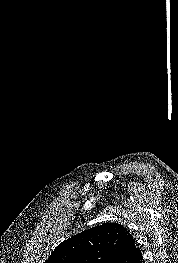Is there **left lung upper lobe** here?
Segmentation results:
<instances>
[{"mask_svg":"<svg viewBox=\"0 0 178 263\" xmlns=\"http://www.w3.org/2000/svg\"><path fill=\"white\" fill-rule=\"evenodd\" d=\"M129 236L118 223L96 226L60 243L45 263H109Z\"/></svg>","mask_w":178,"mask_h":263,"instance_id":"1","label":"left lung upper lobe"}]
</instances>
